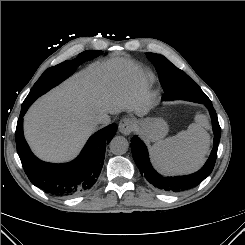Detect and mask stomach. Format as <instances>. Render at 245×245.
Returning a JSON list of instances; mask_svg holds the SVG:
<instances>
[{
  "label": "stomach",
  "mask_w": 245,
  "mask_h": 245,
  "mask_svg": "<svg viewBox=\"0 0 245 245\" xmlns=\"http://www.w3.org/2000/svg\"><path fill=\"white\" fill-rule=\"evenodd\" d=\"M138 129L148 142L160 141L168 133V125L161 118H147L139 122Z\"/></svg>",
  "instance_id": "stomach-1"
}]
</instances>
